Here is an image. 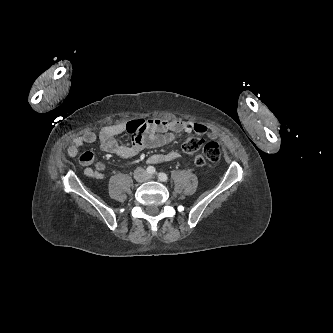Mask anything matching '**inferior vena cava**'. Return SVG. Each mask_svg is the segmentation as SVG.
<instances>
[{"mask_svg": "<svg viewBox=\"0 0 333 333\" xmlns=\"http://www.w3.org/2000/svg\"><path fill=\"white\" fill-rule=\"evenodd\" d=\"M140 173H143L144 175H146L144 169H142V168H138V169H136L135 172H134V177H135L137 180H140V179H139V174H140Z\"/></svg>", "mask_w": 333, "mask_h": 333, "instance_id": "obj_1", "label": "inferior vena cava"}]
</instances>
